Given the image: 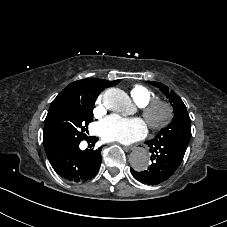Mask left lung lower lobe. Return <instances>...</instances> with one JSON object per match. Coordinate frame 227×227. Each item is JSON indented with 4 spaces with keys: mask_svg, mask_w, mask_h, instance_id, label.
<instances>
[{
    "mask_svg": "<svg viewBox=\"0 0 227 227\" xmlns=\"http://www.w3.org/2000/svg\"><path fill=\"white\" fill-rule=\"evenodd\" d=\"M152 153V164L148 170L137 172L130 168L132 175L143 183L157 185L173 175L183 160L186 145L170 141L149 140L145 142Z\"/></svg>",
    "mask_w": 227,
    "mask_h": 227,
    "instance_id": "1",
    "label": "left lung lower lobe"
}]
</instances>
